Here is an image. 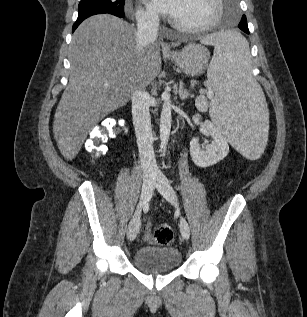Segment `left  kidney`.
<instances>
[{
  "instance_id": "left-kidney-1",
  "label": "left kidney",
  "mask_w": 307,
  "mask_h": 317,
  "mask_svg": "<svg viewBox=\"0 0 307 317\" xmlns=\"http://www.w3.org/2000/svg\"><path fill=\"white\" fill-rule=\"evenodd\" d=\"M200 117L199 114L193 116L192 119L195 124H198ZM204 125L213 139L212 143L205 146L200 145L199 139L195 137L190 142V155L193 162L200 167L216 164L225 158L229 152L228 142L216 126L208 120H205Z\"/></svg>"
}]
</instances>
